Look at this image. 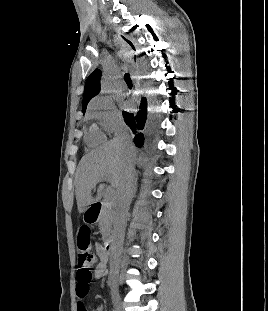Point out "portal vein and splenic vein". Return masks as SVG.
Wrapping results in <instances>:
<instances>
[{"mask_svg": "<svg viewBox=\"0 0 268 311\" xmlns=\"http://www.w3.org/2000/svg\"><path fill=\"white\" fill-rule=\"evenodd\" d=\"M105 181L111 182V178H110V177H107V178H105ZM113 196H114V191L111 190V191H110V197H113Z\"/></svg>", "mask_w": 268, "mask_h": 311, "instance_id": "18ae733b", "label": "portal vein and splenic vein"}]
</instances>
